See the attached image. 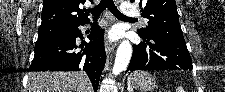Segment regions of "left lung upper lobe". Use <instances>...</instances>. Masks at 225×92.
I'll use <instances>...</instances> for the list:
<instances>
[{"label":"left lung upper lobe","mask_w":225,"mask_h":92,"mask_svg":"<svg viewBox=\"0 0 225 92\" xmlns=\"http://www.w3.org/2000/svg\"><path fill=\"white\" fill-rule=\"evenodd\" d=\"M140 7L141 15L149 20L146 28L138 30L140 36L184 41L175 0H140Z\"/></svg>","instance_id":"5c2ea615"}]
</instances>
